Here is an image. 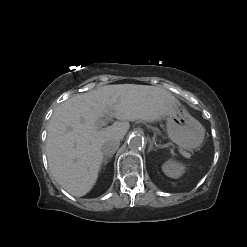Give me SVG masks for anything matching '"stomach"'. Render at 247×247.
Listing matches in <instances>:
<instances>
[{
    "label": "stomach",
    "mask_w": 247,
    "mask_h": 247,
    "mask_svg": "<svg viewBox=\"0 0 247 247\" xmlns=\"http://www.w3.org/2000/svg\"><path fill=\"white\" fill-rule=\"evenodd\" d=\"M169 138L182 150L199 147L205 136L202 124L192 117L187 110L175 101L166 115Z\"/></svg>",
    "instance_id": "0dacf381"
}]
</instances>
